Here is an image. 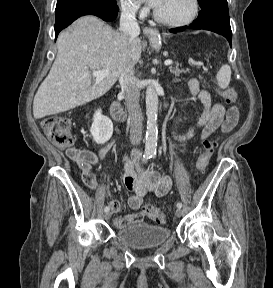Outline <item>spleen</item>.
<instances>
[{
  "label": "spleen",
  "mask_w": 273,
  "mask_h": 288,
  "mask_svg": "<svg viewBox=\"0 0 273 288\" xmlns=\"http://www.w3.org/2000/svg\"><path fill=\"white\" fill-rule=\"evenodd\" d=\"M218 85L221 89H226L231 80V68L229 65H222L216 75Z\"/></svg>",
  "instance_id": "obj_1"
}]
</instances>
